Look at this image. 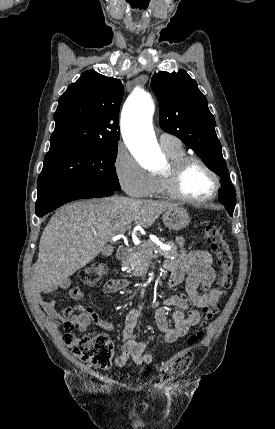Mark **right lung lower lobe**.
Listing matches in <instances>:
<instances>
[{
    "label": "right lung lower lobe",
    "instance_id": "right-lung-lower-lobe-1",
    "mask_svg": "<svg viewBox=\"0 0 275 429\" xmlns=\"http://www.w3.org/2000/svg\"><path fill=\"white\" fill-rule=\"evenodd\" d=\"M114 190L89 185H78L62 188L47 195L38 197L36 201V215L39 217L55 210L59 206L72 200L81 198H99L112 195Z\"/></svg>",
    "mask_w": 275,
    "mask_h": 429
}]
</instances>
